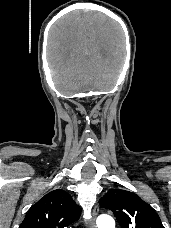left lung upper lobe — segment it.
<instances>
[{
  "label": "left lung upper lobe",
  "mask_w": 171,
  "mask_h": 228,
  "mask_svg": "<svg viewBox=\"0 0 171 228\" xmlns=\"http://www.w3.org/2000/svg\"><path fill=\"white\" fill-rule=\"evenodd\" d=\"M99 203L114 213L122 228H164L154 209L133 192L112 189Z\"/></svg>",
  "instance_id": "5c2ea615"
}]
</instances>
